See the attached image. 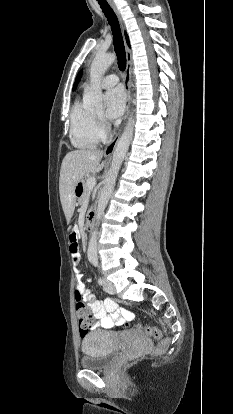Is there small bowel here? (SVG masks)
Segmentation results:
<instances>
[{"label": "small bowel", "mask_w": 233, "mask_h": 414, "mask_svg": "<svg viewBox=\"0 0 233 414\" xmlns=\"http://www.w3.org/2000/svg\"><path fill=\"white\" fill-rule=\"evenodd\" d=\"M77 235L82 236L83 232H77ZM73 270L76 272V293L82 294L87 301L90 309L92 310L94 317L97 319V325L104 328H113L115 326H121L127 321L133 319V314L122 307H119L118 303L112 298H105L104 300H97L84 285V276L81 272L80 266V253L78 251L72 252Z\"/></svg>", "instance_id": "1"}]
</instances>
